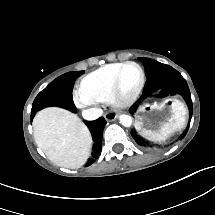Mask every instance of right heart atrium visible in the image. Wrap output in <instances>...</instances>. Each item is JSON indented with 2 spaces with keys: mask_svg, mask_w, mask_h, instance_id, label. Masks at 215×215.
<instances>
[{
  "mask_svg": "<svg viewBox=\"0 0 215 215\" xmlns=\"http://www.w3.org/2000/svg\"><path fill=\"white\" fill-rule=\"evenodd\" d=\"M75 103H76L77 107L81 108V109L86 108L88 105V102L86 101L84 96H82L80 94L75 95Z\"/></svg>",
  "mask_w": 215,
  "mask_h": 215,
  "instance_id": "d8ad5b80",
  "label": "right heart atrium"
}]
</instances>
